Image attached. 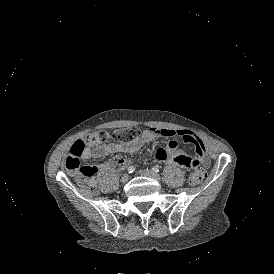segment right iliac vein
Listing matches in <instances>:
<instances>
[{
  "label": "right iliac vein",
  "mask_w": 274,
  "mask_h": 274,
  "mask_svg": "<svg viewBox=\"0 0 274 274\" xmlns=\"http://www.w3.org/2000/svg\"><path fill=\"white\" fill-rule=\"evenodd\" d=\"M128 180H129V175H128V174H124V175L121 177V182H122V183H126Z\"/></svg>",
  "instance_id": "right-iliac-vein-1"
}]
</instances>
